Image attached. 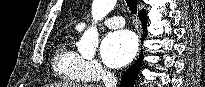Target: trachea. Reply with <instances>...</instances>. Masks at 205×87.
<instances>
[{
	"mask_svg": "<svg viewBox=\"0 0 205 87\" xmlns=\"http://www.w3.org/2000/svg\"><path fill=\"white\" fill-rule=\"evenodd\" d=\"M127 7L131 13L136 14L137 12V0H126Z\"/></svg>",
	"mask_w": 205,
	"mask_h": 87,
	"instance_id": "3493384b",
	"label": "trachea"
}]
</instances>
